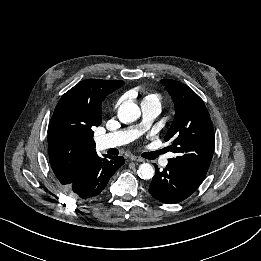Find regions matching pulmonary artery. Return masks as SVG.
<instances>
[{"label": "pulmonary artery", "mask_w": 261, "mask_h": 261, "mask_svg": "<svg viewBox=\"0 0 261 261\" xmlns=\"http://www.w3.org/2000/svg\"><path fill=\"white\" fill-rule=\"evenodd\" d=\"M142 111L144 119L140 124L139 129L151 123L160 114V107L155 103L144 102L142 103ZM139 129L121 130L109 133L99 139V144L102 148H111L127 144L137 138ZM173 155V153H170L167 156L161 157L159 164L163 167L166 166L168 164V159Z\"/></svg>", "instance_id": "pulmonary-artery-1"}]
</instances>
